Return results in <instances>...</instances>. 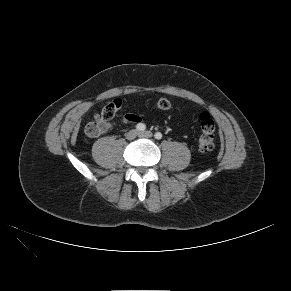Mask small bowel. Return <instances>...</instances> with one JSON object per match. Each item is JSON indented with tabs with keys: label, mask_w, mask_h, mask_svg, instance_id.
Segmentation results:
<instances>
[{
	"label": "small bowel",
	"mask_w": 291,
	"mask_h": 291,
	"mask_svg": "<svg viewBox=\"0 0 291 291\" xmlns=\"http://www.w3.org/2000/svg\"><path fill=\"white\" fill-rule=\"evenodd\" d=\"M123 121L125 123H139L141 121V118L135 113H127L123 116Z\"/></svg>",
	"instance_id": "c3829d8e"
}]
</instances>
